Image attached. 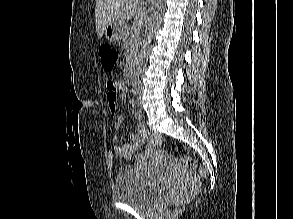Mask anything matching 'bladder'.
<instances>
[{"instance_id": "1", "label": "bladder", "mask_w": 293, "mask_h": 219, "mask_svg": "<svg viewBox=\"0 0 293 219\" xmlns=\"http://www.w3.org/2000/svg\"><path fill=\"white\" fill-rule=\"evenodd\" d=\"M167 192V185L148 181L136 169L123 167L115 180L118 202L136 209H146L159 203Z\"/></svg>"}]
</instances>
